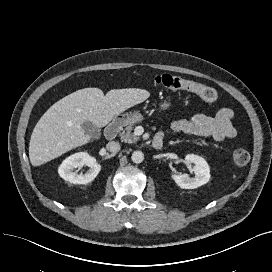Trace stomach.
I'll use <instances>...</instances> for the list:
<instances>
[{"mask_svg":"<svg viewBox=\"0 0 272 272\" xmlns=\"http://www.w3.org/2000/svg\"><path fill=\"white\" fill-rule=\"evenodd\" d=\"M169 106H170V103L166 102V101H164L160 104V107L162 110L168 109ZM118 120L121 125H127V124L141 122L143 120V116L138 111H135V112H130V113H126V114L121 115L118 118Z\"/></svg>","mask_w":272,"mask_h":272,"instance_id":"1","label":"stomach"}]
</instances>
